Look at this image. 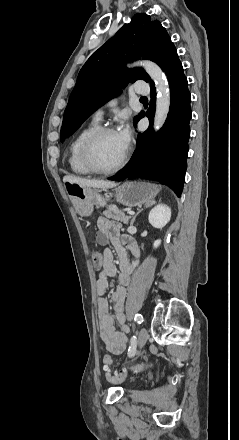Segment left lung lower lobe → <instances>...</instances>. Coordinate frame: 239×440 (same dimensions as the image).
Masks as SVG:
<instances>
[{
	"instance_id": "left-lung-lower-lobe-1",
	"label": "left lung lower lobe",
	"mask_w": 239,
	"mask_h": 440,
	"mask_svg": "<svg viewBox=\"0 0 239 440\" xmlns=\"http://www.w3.org/2000/svg\"><path fill=\"white\" fill-rule=\"evenodd\" d=\"M162 70L167 74L171 91L167 120L157 134H154L151 125L143 134L138 133V145L131 162L122 172L109 179L150 178L167 181L180 197L187 168L191 96L175 47L170 50ZM150 88V107L146 114L143 112L137 117L136 123L145 115L150 123L153 122L156 102L153 82H150Z\"/></svg>"
}]
</instances>
